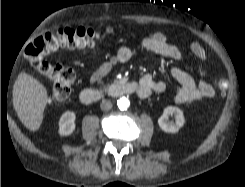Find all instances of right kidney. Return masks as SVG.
<instances>
[{"instance_id": "1", "label": "right kidney", "mask_w": 245, "mask_h": 187, "mask_svg": "<svg viewBox=\"0 0 245 187\" xmlns=\"http://www.w3.org/2000/svg\"><path fill=\"white\" fill-rule=\"evenodd\" d=\"M76 115L72 111L65 112L59 120V134L61 136L71 135L75 130Z\"/></svg>"}]
</instances>
